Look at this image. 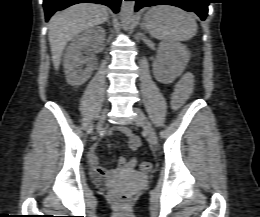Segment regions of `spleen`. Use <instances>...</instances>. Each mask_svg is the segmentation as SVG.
<instances>
[{
  "label": "spleen",
  "mask_w": 260,
  "mask_h": 217,
  "mask_svg": "<svg viewBox=\"0 0 260 217\" xmlns=\"http://www.w3.org/2000/svg\"><path fill=\"white\" fill-rule=\"evenodd\" d=\"M145 22L153 37L166 42L189 40L197 33L193 15L178 7H153L145 15Z\"/></svg>",
  "instance_id": "3e777b00"
}]
</instances>
